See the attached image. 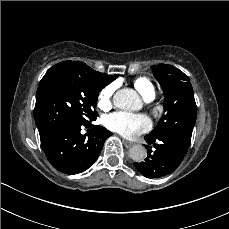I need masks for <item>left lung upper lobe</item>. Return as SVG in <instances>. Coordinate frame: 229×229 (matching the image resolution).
Returning a JSON list of instances; mask_svg holds the SVG:
<instances>
[{
  "mask_svg": "<svg viewBox=\"0 0 229 229\" xmlns=\"http://www.w3.org/2000/svg\"><path fill=\"white\" fill-rule=\"evenodd\" d=\"M151 69L164 92V115L148 135L174 138L189 146L197 115L190 80L172 65L161 63Z\"/></svg>",
  "mask_w": 229,
  "mask_h": 229,
  "instance_id": "obj_1",
  "label": "left lung upper lobe"
}]
</instances>
